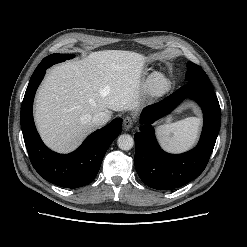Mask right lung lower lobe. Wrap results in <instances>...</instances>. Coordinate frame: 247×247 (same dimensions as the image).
<instances>
[{
    "label": "right lung lower lobe",
    "instance_id": "obj_1",
    "mask_svg": "<svg viewBox=\"0 0 247 247\" xmlns=\"http://www.w3.org/2000/svg\"><path fill=\"white\" fill-rule=\"evenodd\" d=\"M47 65L34 71L21 106V128L31 163L45 180L65 188H78L90 183L97 175L103 157L112 141L120 134L122 119L116 118L89 135L70 154H58L42 142L34 125L32 107L35 92Z\"/></svg>",
    "mask_w": 247,
    "mask_h": 247
}]
</instances>
